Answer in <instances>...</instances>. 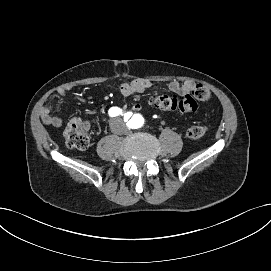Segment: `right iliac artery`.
Instances as JSON below:
<instances>
[{
  "mask_svg": "<svg viewBox=\"0 0 271 271\" xmlns=\"http://www.w3.org/2000/svg\"><path fill=\"white\" fill-rule=\"evenodd\" d=\"M108 113H109L110 117H116L118 115H123L122 114V110L120 108H118V107H112V108H110L109 111H108ZM125 116H126V114H125ZM129 118H130V116H127L126 119L128 120Z\"/></svg>",
  "mask_w": 271,
  "mask_h": 271,
  "instance_id": "obj_1",
  "label": "right iliac artery"
}]
</instances>
